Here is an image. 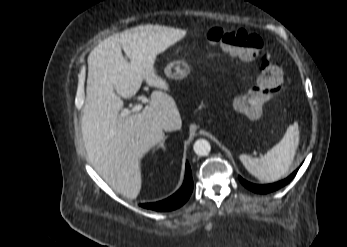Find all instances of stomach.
<instances>
[{
    "instance_id": "stomach-1",
    "label": "stomach",
    "mask_w": 347,
    "mask_h": 247,
    "mask_svg": "<svg viewBox=\"0 0 347 247\" xmlns=\"http://www.w3.org/2000/svg\"><path fill=\"white\" fill-rule=\"evenodd\" d=\"M165 75L172 79H183L190 73V66L184 62H175L168 65L165 70Z\"/></svg>"
}]
</instances>
